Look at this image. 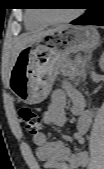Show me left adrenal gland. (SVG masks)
Instances as JSON below:
<instances>
[{
    "mask_svg": "<svg viewBox=\"0 0 104 169\" xmlns=\"http://www.w3.org/2000/svg\"><path fill=\"white\" fill-rule=\"evenodd\" d=\"M85 59H86L88 62L90 61V59H91V52L88 53V55L86 56Z\"/></svg>",
    "mask_w": 104,
    "mask_h": 169,
    "instance_id": "left-adrenal-gland-1",
    "label": "left adrenal gland"
}]
</instances>
